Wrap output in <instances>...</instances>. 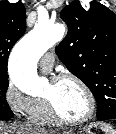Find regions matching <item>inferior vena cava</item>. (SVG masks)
I'll return each instance as SVG.
<instances>
[{"mask_svg":"<svg viewBox=\"0 0 116 134\" xmlns=\"http://www.w3.org/2000/svg\"><path fill=\"white\" fill-rule=\"evenodd\" d=\"M23 128H24V129H29V128H30V125H29V124H25V125L23 126Z\"/></svg>","mask_w":116,"mask_h":134,"instance_id":"1","label":"inferior vena cava"}]
</instances>
